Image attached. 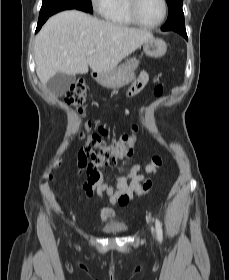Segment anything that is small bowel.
Wrapping results in <instances>:
<instances>
[{"mask_svg": "<svg viewBox=\"0 0 229 280\" xmlns=\"http://www.w3.org/2000/svg\"><path fill=\"white\" fill-rule=\"evenodd\" d=\"M148 80V73L142 72L138 80L128 88L127 96L131 97L139 93L145 87ZM154 93L158 96L161 95L163 93L162 86H157ZM140 169L141 165L136 163L128 174L118 177L113 186L102 184L100 179L96 183H91L86 180L83 183L85 194L87 197L93 196L94 194L102 197L104 194H107L111 203H119L122 206H127L130 200L136 194L140 193L142 184L147 181L144 174L138 173ZM152 171L147 168V173H151ZM100 216L103 221H108L114 217V211L110 207H104L100 212Z\"/></svg>", "mask_w": 229, "mask_h": 280, "instance_id": "obj_1", "label": "small bowel"}]
</instances>
